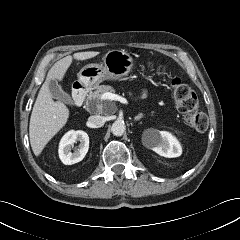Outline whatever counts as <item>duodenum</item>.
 Returning <instances> with one entry per match:
<instances>
[{
    "mask_svg": "<svg viewBox=\"0 0 240 240\" xmlns=\"http://www.w3.org/2000/svg\"><path fill=\"white\" fill-rule=\"evenodd\" d=\"M87 94V90L83 85H76L73 89V98H74V102L77 106H80L86 97Z\"/></svg>",
    "mask_w": 240,
    "mask_h": 240,
    "instance_id": "obj_1",
    "label": "duodenum"
}]
</instances>
